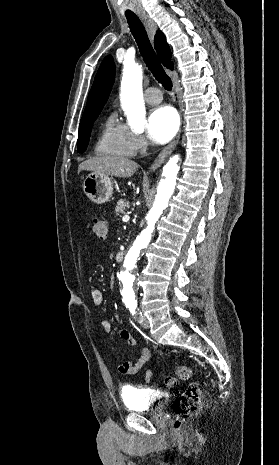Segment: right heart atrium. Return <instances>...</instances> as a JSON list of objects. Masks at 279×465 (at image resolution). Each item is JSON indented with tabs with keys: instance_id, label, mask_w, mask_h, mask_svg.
<instances>
[{
	"instance_id": "obj_1",
	"label": "right heart atrium",
	"mask_w": 279,
	"mask_h": 465,
	"mask_svg": "<svg viewBox=\"0 0 279 465\" xmlns=\"http://www.w3.org/2000/svg\"><path fill=\"white\" fill-rule=\"evenodd\" d=\"M130 139L134 153L143 151L148 145L145 137L142 134L130 131Z\"/></svg>"
}]
</instances>
